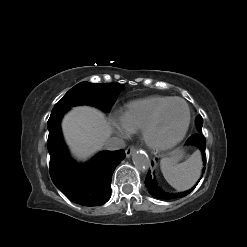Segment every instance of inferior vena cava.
I'll return each mask as SVG.
<instances>
[{
  "label": "inferior vena cava",
  "instance_id": "inferior-vena-cava-1",
  "mask_svg": "<svg viewBox=\"0 0 247 247\" xmlns=\"http://www.w3.org/2000/svg\"><path fill=\"white\" fill-rule=\"evenodd\" d=\"M124 147H125L124 140L118 137L110 138L105 145V148L107 150H118V149H123Z\"/></svg>",
  "mask_w": 247,
  "mask_h": 247
}]
</instances>
